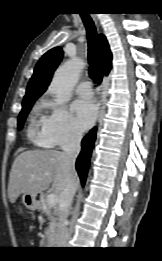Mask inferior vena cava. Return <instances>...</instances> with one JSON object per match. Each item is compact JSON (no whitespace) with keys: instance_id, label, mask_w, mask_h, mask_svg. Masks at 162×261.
Returning a JSON list of instances; mask_svg holds the SVG:
<instances>
[{"instance_id":"602c4592","label":"inferior vena cava","mask_w":162,"mask_h":261,"mask_svg":"<svg viewBox=\"0 0 162 261\" xmlns=\"http://www.w3.org/2000/svg\"><path fill=\"white\" fill-rule=\"evenodd\" d=\"M82 139V133L79 131L73 132L69 139L62 146V150L64 153V158L66 160L67 165L70 168L75 169V161L80 152V142ZM76 186L73 183H68L64 192L61 195V210L59 214V247H67L69 240V233L67 229V218L69 215V209L73 201V197L76 192Z\"/></svg>"}]
</instances>
